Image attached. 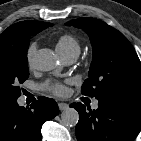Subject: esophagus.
Wrapping results in <instances>:
<instances>
[{
    "instance_id": "obj_1",
    "label": "esophagus",
    "mask_w": 141,
    "mask_h": 141,
    "mask_svg": "<svg viewBox=\"0 0 141 141\" xmlns=\"http://www.w3.org/2000/svg\"><path fill=\"white\" fill-rule=\"evenodd\" d=\"M58 107H59L60 111H64L68 108V104L64 103V102H60V103H58Z\"/></svg>"
}]
</instances>
